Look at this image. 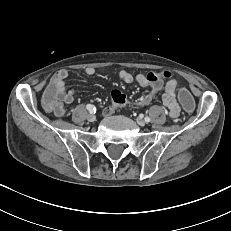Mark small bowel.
<instances>
[{
  "label": "small bowel",
  "instance_id": "c3829d8e",
  "mask_svg": "<svg viewBox=\"0 0 231 231\" xmlns=\"http://www.w3.org/2000/svg\"><path fill=\"white\" fill-rule=\"evenodd\" d=\"M61 76L58 78L57 86L58 93L55 95L56 103L48 109L52 111L56 116H63L65 114L64 104H70L74 101L75 91L72 88L66 87V80L68 77V71L65 69L60 70ZM87 76H93L95 69L93 67H87L85 69ZM119 78L127 84L136 82L141 87H149L150 90L147 94L133 101V104L137 106L148 105L155 95L164 88L163 103L168 108L170 118H176L181 108L178 104L177 91L178 81L173 78L163 83L162 78L159 77L158 72H151L148 74L133 75L127 70H120L118 73ZM115 106H112L106 110L107 113H111Z\"/></svg>",
  "mask_w": 231,
  "mask_h": 231
}]
</instances>
